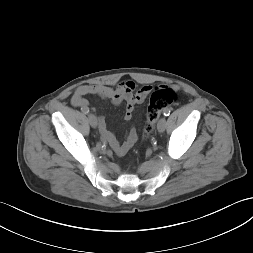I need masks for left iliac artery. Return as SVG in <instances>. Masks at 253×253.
I'll return each instance as SVG.
<instances>
[{
    "label": "left iliac artery",
    "mask_w": 253,
    "mask_h": 253,
    "mask_svg": "<svg viewBox=\"0 0 253 253\" xmlns=\"http://www.w3.org/2000/svg\"><path fill=\"white\" fill-rule=\"evenodd\" d=\"M170 112H171L170 109H165L163 114L164 116H169Z\"/></svg>",
    "instance_id": "left-iliac-artery-1"
}]
</instances>
